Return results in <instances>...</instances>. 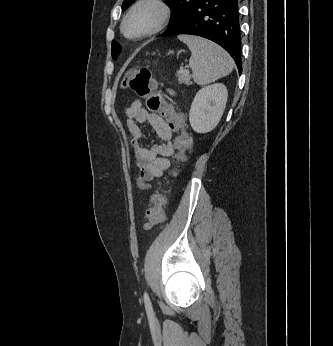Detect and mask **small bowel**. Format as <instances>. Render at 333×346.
<instances>
[{"label": "small bowel", "instance_id": "small-bowel-1", "mask_svg": "<svg viewBox=\"0 0 333 346\" xmlns=\"http://www.w3.org/2000/svg\"><path fill=\"white\" fill-rule=\"evenodd\" d=\"M130 139L134 145L135 157L139 167L137 184L147 189L152 181L161 178L170 167V157L175 152L172 141L173 129L162 116L143 107L139 100L134 101L125 110ZM141 124L149 125L161 140L151 146L139 144L145 138Z\"/></svg>", "mask_w": 333, "mask_h": 346}]
</instances>
